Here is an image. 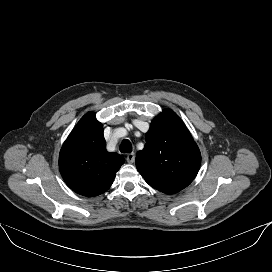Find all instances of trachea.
<instances>
[{
    "instance_id": "trachea-1",
    "label": "trachea",
    "mask_w": 272,
    "mask_h": 272,
    "mask_svg": "<svg viewBox=\"0 0 272 272\" xmlns=\"http://www.w3.org/2000/svg\"><path fill=\"white\" fill-rule=\"evenodd\" d=\"M132 150V144L128 139L123 140L120 145V151L122 153H130Z\"/></svg>"
}]
</instances>
